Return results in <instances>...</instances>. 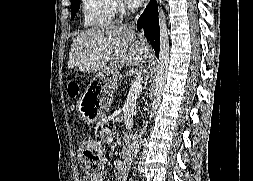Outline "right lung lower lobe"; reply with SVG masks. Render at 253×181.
Listing matches in <instances>:
<instances>
[{
  "mask_svg": "<svg viewBox=\"0 0 253 181\" xmlns=\"http://www.w3.org/2000/svg\"><path fill=\"white\" fill-rule=\"evenodd\" d=\"M138 29L144 28L145 36L150 41L158 57L160 50V34L158 21V7L156 0H151L137 24Z\"/></svg>",
  "mask_w": 253,
  "mask_h": 181,
  "instance_id": "98d812e1",
  "label": "right lung lower lobe"
}]
</instances>
